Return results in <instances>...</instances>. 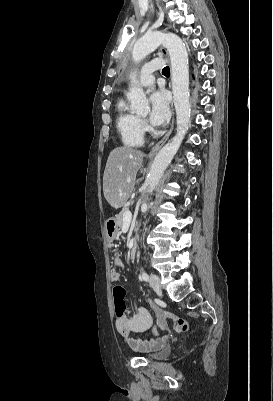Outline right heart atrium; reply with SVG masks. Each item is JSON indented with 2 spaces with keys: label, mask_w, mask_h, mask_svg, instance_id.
I'll use <instances>...</instances> for the list:
<instances>
[{
  "label": "right heart atrium",
  "mask_w": 273,
  "mask_h": 401,
  "mask_svg": "<svg viewBox=\"0 0 273 401\" xmlns=\"http://www.w3.org/2000/svg\"><path fill=\"white\" fill-rule=\"evenodd\" d=\"M141 126L143 130H146V123L143 120L141 121Z\"/></svg>",
  "instance_id": "right-heart-atrium-1"
}]
</instances>
